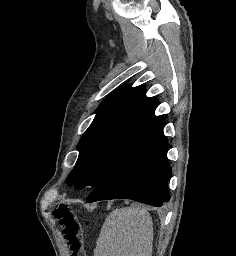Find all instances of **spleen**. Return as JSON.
<instances>
[{"mask_svg": "<svg viewBox=\"0 0 236 256\" xmlns=\"http://www.w3.org/2000/svg\"><path fill=\"white\" fill-rule=\"evenodd\" d=\"M152 218L146 208L113 210L107 216L93 250L94 256H151Z\"/></svg>", "mask_w": 236, "mask_h": 256, "instance_id": "1", "label": "spleen"}]
</instances>
